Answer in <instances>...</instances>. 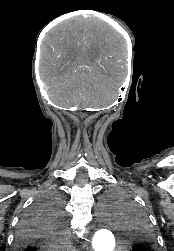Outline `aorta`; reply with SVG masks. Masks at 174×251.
Returning <instances> with one entry per match:
<instances>
[{
	"label": "aorta",
	"instance_id": "aorta-1",
	"mask_svg": "<svg viewBox=\"0 0 174 251\" xmlns=\"http://www.w3.org/2000/svg\"><path fill=\"white\" fill-rule=\"evenodd\" d=\"M98 230L96 231L92 245L95 251H113L115 240L112 230L118 226L117 220L106 214L99 218Z\"/></svg>",
	"mask_w": 174,
	"mask_h": 251
}]
</instances>
